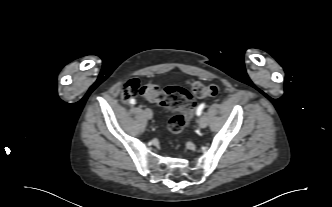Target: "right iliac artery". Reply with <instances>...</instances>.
I'll use <instances>...</instances> for the list:
<instances>
[{
	"mask_svg": "<svg viewBox=\"0 0 332 207\" xmlns=\"http://www.w3.org/2000/svg\"><path fill=\"white\" fill-rule=\"evenodd\" d=\"M130 104H135L136 103V101H135V99H130Z\"/></svg>",
	"mask_w": 332,
	"mask_h": 207,
	"instance_id": "82829eb1",
	"label": "right iliac artery"
}]
</instances>
